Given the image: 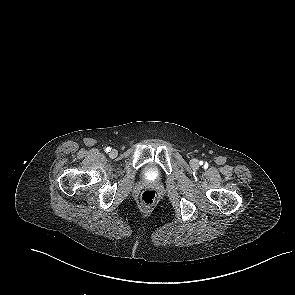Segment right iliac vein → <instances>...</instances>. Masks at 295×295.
Listing matches in <instances>:
<instances>
[{
	"instance_id": "63e3f726",
	"label": "right iliac vein",
	"mask_w": 295,
	"mask_h": 295,
	"mask_svg": "<svg viewBox=\"0 0 295 295\" xmlns=\"http://www.w3.org/2000/svg\"><path fill=\"white\" fill-rule=\"evenodd\" d=\"M118 155V151L116 149H112L109 153L111 158H115Z\"/></svg>"
}]
</instances>
